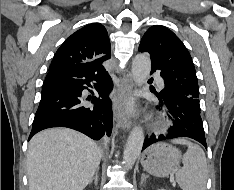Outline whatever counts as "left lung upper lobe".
<instances>
[{
    "instance_id": "obj_1",
    "label": "left lung upper lobe",
    "mask_w": 234,
    "mask_h": 190,
    "mask_svg": "<svg viewBox=\"0 0 234 190\" xmlns=\"http://www.w3.org/2000/svg\"><path fill=\"white\" fill-rule=\"evenodd\" d=\"M140 52H148L165 81V89L200 111L198 81L190 53L181 40L161 25L150 27L141 39Z\"/></svg>"
}]
</instances>
